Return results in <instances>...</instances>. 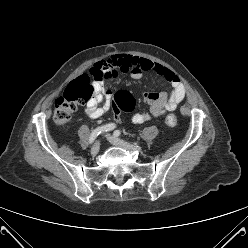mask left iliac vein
Here are the masks:
<instances>
[{
	"label": "left iliac vein",
	"mask_w": 248,
	"mask_h": 248,
	"mask_svg": "<svg viewBox=\"0 0 248 248\" xmlns=\"http://www.w3.org/2000/svg\"><path fill=\"white\" fill-rule=\"evenodd\" d=\"M107 139L109 140L110 143H112L113 145L115 146H119V147H122V148H125V149H128V150H135V151H140L141 148L137 145H134V144H129L127 142H124L110 134H107L106 135Z\"/></svg>",
	"instance_id": "1"
}]
</instances>
